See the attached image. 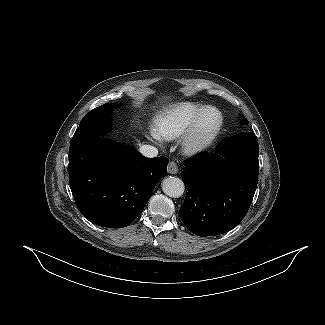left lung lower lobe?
<instances>
[{"instance_id":"1","label":"left lung lower lobe","mask_w":325,"mask_h":325,"mask_svg":"<svg viewBox=\"0 0 325 325\" xmlns=\"http://www.w3.org/2000/svg\"><path fill=\"white\" fill-rule=\"evenodd\" d=\"M258 154L257 137L242 132L223 140L214 153L203 151L184 162L187 192L179 213L192 233L219 235L242 221L257 186Z\"/></svg>"}]
</instances>
